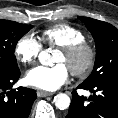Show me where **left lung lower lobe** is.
<instances>
[{"label":"left lung lower lobe","instance_id":"0a47b994","mask_svg":"<svg viewBox=\"0 0 118 118\" xmlns=\"http://www.w3.org/2000/svg\"><path fill=\"white\" fill-rule=\"evenodd\" d=\"M78 88L93 93L88 99L73 91L65 118H118V78L95 85L81 83Z\"/></svg>","mask_w":118,"mask_h":118}]
</instances>
